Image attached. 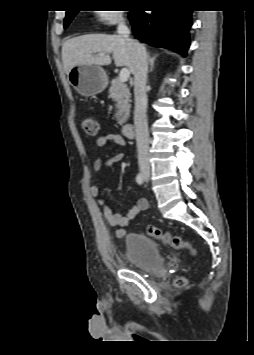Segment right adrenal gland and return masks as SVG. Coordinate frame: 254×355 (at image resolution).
I'll return each mask as SVG.
<instances>
[{"label": "right adrenal gland", "mask_w": 254, "mask_h": 355, "mask_svg": "<svg viewBox=\"0 0 254 355\" xmlns=\"http://www.w3.org/2000/svg\"><path fill=\"white\" fill-rule=\"evenodd\" d=\"M157 57H158V54H156V55H154L153 57H151L150 54L148 53L147 59H148V62H149V72H152V71H153L154 62H155V60H156Z\"/></svg>", "instance_id": "obj_1"}]
</instances>
